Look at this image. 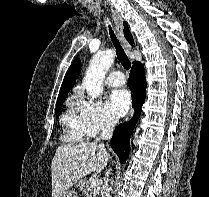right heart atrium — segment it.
Masks as SVG:
<instances>
[{
  "instance_id": "obj_1",
  "label": "right heart atrium",
  "mask_w": 209,
  "mask_h": 197,
  "mask_svg": "<svg viewBox=\"0 0 209 197\" xmlns=\"http://www.w3.org/2000/svg\"><path fill=\"white\" fill-rule=\"evenodd\" d=\"M77 105L88 137H95L114 127L115 117L100 100L80 98Z\"/></svg>"
}]
</instances>
